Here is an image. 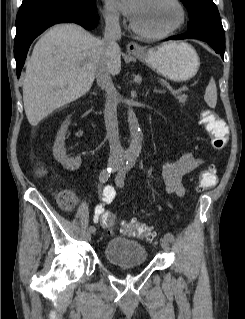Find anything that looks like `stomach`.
<instances>
[{
    "label": "stomach",
    "instance_id": "obj_1",
    "mask_svg": "<svg viewBox=\"0 0 245 319\" xmlns=\"http://www.w3.org/2000/svg\"><path fill=\"white\" fill-rule=\"evenodd\" d=\"M135 57L157 73L177 82L191 79L200 66L196 50L186 42H168L145 49Z\"/></svg>",
    "mask_w": 245,
    "mask_h": 319
}]
</instances>
